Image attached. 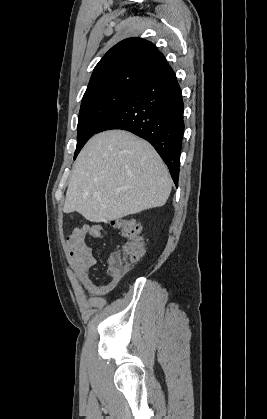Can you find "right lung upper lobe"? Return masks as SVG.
<instances>
[{"mask_svg": "<svg viewBox=\"0 0 267 419\" xmlns=\"http://www.w3.org/2000/svg\"><path fill=\"white\" fill-rule=\"evenodd\" d=\"M169 66L156 46L141 38H128L113 46L94 68L83 98L108 90L139 87Z\"/></svg>", "mask_w": 267, "mask_h": 419, "instance_id": "cb5924a9", "label": "right lung upper lobe"}]
</instances>
